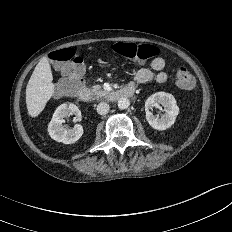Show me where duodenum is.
<instances>
[{
	"instance_id": "410a0bca",
	"label": "duodenum",
	"mask_w": 232,
	"mask_h": 232,
	"mask_svg": "<svg viewBox=\"0 0 232 232\" xmlns=\"http://www.w3.org/2000/svg\"><path fill=\"white\" fill-rule=\"evenodd\" d=\"M134 95V87L126 86L121 89L108 92L105 96L107 101H118L123 98H130ZM77 97L82 102H89L91 100V95L86 88L81 87L77 92Z\"/></svg>"
}]
</instances>
